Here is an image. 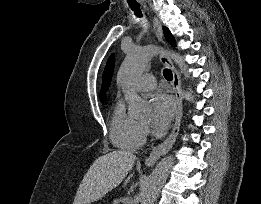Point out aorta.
Segmentation results:
<instances>
[{
  "instance_id": "obj_1",
  "label": "aorta",
  "mask_w": 261,
  "mask_h": 204,
  "mask_svg": "<svg viewBox=\"0 0 261 204\" xmlns=\"http://www.w3.org/2000/svg\"><path fill=\"white\" fill-rule=\"evenodd\" d=\"M159 52L160 49L154 45L132 49L127 53L126 58L118 71L117 81L122 86L125 99L129 105V114L133 118H142L150 113L148 101L137 95L133 85L148 66L151 59ZM169 55L178 65L181 72L188 77V66L183 57L173 51L169 52ZM173 165V156H168L157 164L144 187L141 204H154Z\"/></svg>"
}]
</instances>
